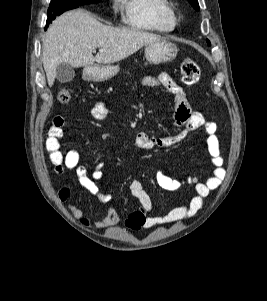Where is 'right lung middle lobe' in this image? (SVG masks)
I'll return each mask as SVG.
<instances>
[{"mask_svg": "<svg viewBox=\"0 0 267 301\" xmlns=\"http://www.w3.org/2000/svg\"><path fill=\"white\" fill-rule=\"evenodd\" d=\"M100 1L101 0H51L46 24L49 25L52 23V20L67 10L77 8L80 5L98 3Z\"/></svg>", "mask_w": 267, "mask_h": 301, "instance_id": "obj_1", "label": "right lung middle lobe"}]
</instances>
